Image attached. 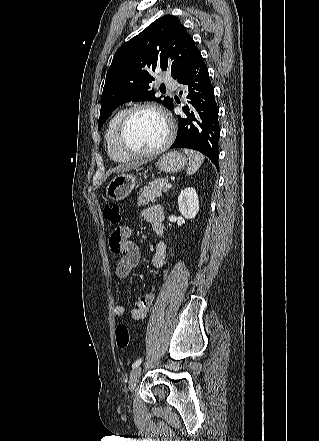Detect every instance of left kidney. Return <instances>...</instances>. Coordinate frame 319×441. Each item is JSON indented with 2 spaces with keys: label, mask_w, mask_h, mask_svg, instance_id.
<instances>
[{
  "label": "left kidney",
  "mask_w": 319,
  "mask_h": 441,
  "mask_svg": "<svg viewBox=\"0 0 319 441\" xmlns=\"http://www.w3.org/2000/svg\"><path fill=\"white\" fill-rule=\"evenodd\" d=\"M180 213L187 219L195 218L199 210V200L193 187L184 189L178 197Z\"/></svg>",
  "instance_id": "left-kidney-1"
}]
</instances>
